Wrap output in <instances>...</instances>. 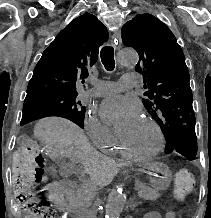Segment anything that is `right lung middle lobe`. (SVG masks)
Here are the masks:
<instances>
[{"mask_svg":"<svg viewBox=\"0 0 211 218\" xmlns=\"http://www.w3.org/2000/svg\"><path fill=\"white\" fill-rule=\"evenodd\" d=\"M77 95L50 96L25 102L20 124L24 125L47 116H60L83 128L86 108L77 100Z\"/></svg>","mask_w":211,"mask_h":218,"instance_id":"1","label":"right lung middle lobe"}]
</instances>
